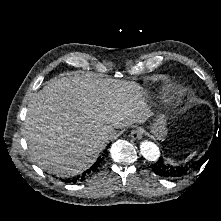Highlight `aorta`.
<instances>
[{
	"label": "aorta",
	"instance_id": "aorta-1",
	"mask_svg": "<svg viewBox=\"0 0 221 221\" xmlns=\"http://www.w3.org/2000/svg\"><path fill=\"white\" fill-rule=\"evenodd\" d=\"M140 152L148 161H157L160 157L158 146L151 141H143L140 144Z\"/></svg>",
	"mask_w": 221,
	"mask_h": 221
}]
</instances>
